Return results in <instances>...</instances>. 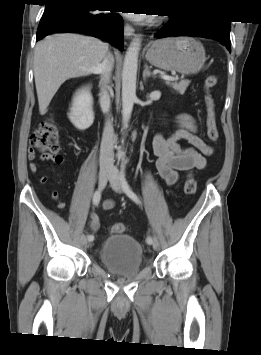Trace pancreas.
Instances as JSON below:
<instances>
[{
    "instance_id": "pancreas-1",
    "label": "pancreas",
    "mask_w": 261,
    "mask_h": 355,
    "mask_svg": "<svg viewBox=\"0 0 261 355\" xmlns=\"http://www.w3.org/2000/svg\"><path fill=\"white\" fill-rule=\"evenodd\" d=\"M190 81L189 80H182L180 82H170L166 81V84L170 87H172L175 91H177L179 94L183 95L189 85Z\"/></svg>"
}]
</instances>
